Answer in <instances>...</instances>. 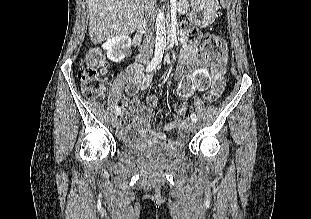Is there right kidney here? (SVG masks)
Listing matches in <instances>:
<instances>
[{
  "label": "right kidney",
  "instance_id": "obj_1",
  "mask_svg": "<svg viewBox=\"0 0 311 219\" xmlns=\"http://www.w3.org/2000/svg\"><path fill=\"white\" fill-rule=\"evenodd\" d=\"M107 50V57L113 62L123 60L131 48V39L127 35H120L107 40L102 45Z\"/></svg>",
  "mask_w": 311,
  "mask_h": 219
}]
</instances>
